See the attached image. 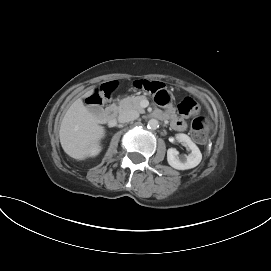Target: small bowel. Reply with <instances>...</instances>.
Here are the masks:
<instances>
[{
	"instance_id": "1",
	"label": "small bowel",
	"mask_w": 271,
	"mask_h": 271,
	"mask_svg": "<svg viewBox=\"0 0 271 271\" xmlns=\"http://www.w3.org/2000/svg\"><path fill=\"white\" fill-rule=\"evenodd\" d=\"M158 115L162 116V113H158ZM168 116L171 120V125L174 129L178 130V131H182L185 129V122L179 118L174 112L173 110H170L168 112Z\"/></svg>"
}]
</instances>
